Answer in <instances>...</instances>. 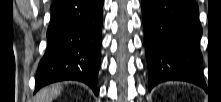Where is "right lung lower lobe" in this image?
Returning a JSON list of instances; mask_svg holds the SVG:
<instances>
[{"label": "right lung lower lobe", "mask_w": 221, "mask_h": 102, "mask_svg": "<svg viewBox=\"0 0 221 102\" xmlns=\"http://www.w3.org/2000/svg\"><path fill=\"white\" fill-rule=\"evenodd\" d=\"M103 0H54L46 52L38 65L35 92L58 81L76 80L97 95Z\"/></svg>", "instance_id": "obj_1"}]
</instances>
